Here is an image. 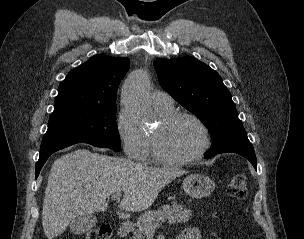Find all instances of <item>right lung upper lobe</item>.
Masks as SVG:
<instances>
[{
  "label": "right lung upper lobe",
  "mask_w": 304,
  "mask_h": 239,
  "mask_svg": "<svg viewBox=\"0 0 304 239\" xmlns=\"http://www.w3.org/2000/svg\"><path fill=\"white\" fill-rule=\"evenodd\" d=\"M129 64L127 57L97 55L72 69L59 85L54 112L116 105L117 89Z\"/></svg>",
  "instance_id": "right-lung-upper-lobe-1"
}]
</instances>
